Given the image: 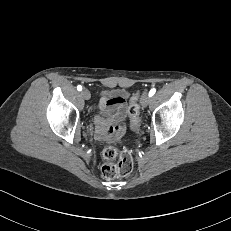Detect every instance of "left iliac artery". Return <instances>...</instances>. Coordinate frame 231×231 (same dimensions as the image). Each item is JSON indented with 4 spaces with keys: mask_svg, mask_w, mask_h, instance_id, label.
Listing matches in <instances>:
<instances>
[{
    "mask_svg": "<svg viewBox=\"0 0 231 231\" xmlns=\"http://www.w3.org/2000/svg\"><path fill=\"white\" fill-rule=\"evenodd\" d=\"M155 92H156L155 88L151 89L150 92H149V94H148L149 97H152L155 94Z\"/></svg>",
    "mask_w": 231,
    "mask_h": 231,
    "instance_id": "obj_1",
    "label": "left iliac artery"
}]
</instances>
